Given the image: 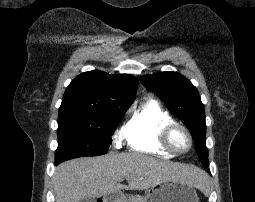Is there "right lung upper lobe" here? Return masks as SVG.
<instances>
[{
    "label": "right lung upper lobe",
    "instance_id": "cb5924a9",
    "mask_svg": "<svg viewBox=\"0 0 255 202\" xmlns=\"http://www.w3.org/2000/svg\"><path fill=\"white\" fill-rule=\"evenodd\" d=\"M138 80L132 75H109L94 70L78 75L67 87L59 116L124 109L134 101Z\"/></svg>",
    "mask_w": 255,
    "mask_h": 202
}]
</instances>
